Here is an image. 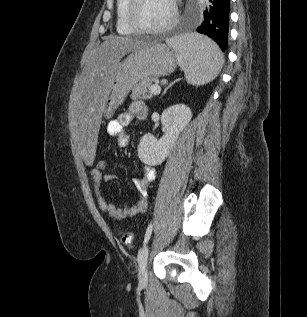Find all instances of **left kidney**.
I'll use <instances>...</instances> for the list:
<instances>
[{
	"label": "left kidney",
	"mask_w": 307,
	"mask_h": 317,
	"mask_svg": "<svg viewBox=\"0 0 307 317\" xmlns=\"http://www.w3.org/2000/svg\"><path fill=\"white\" fill-rule=\"evenodd\" d=\"M191 118L192 112L184 104H175L165 109L161 115L165 134L159 140L150 133L141 138L138 146L141 162L150 166L161 164Z\"/></svg>",
	"instance_id": "5707ae66"
}]
</instances>
